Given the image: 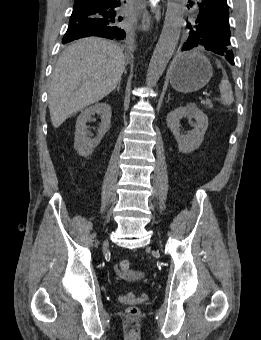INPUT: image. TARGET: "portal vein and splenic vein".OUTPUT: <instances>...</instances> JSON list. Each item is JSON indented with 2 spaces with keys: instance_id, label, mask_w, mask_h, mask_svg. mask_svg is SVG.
I'll list each match as a JSON object with an SVG mask.
<instances>
[{
  "instance_id": "obj_1",
  "label": "portal vein and splenic vein",
  "mask_w": 261,
  "mask_h": 340,
  "mask_svg": "<svg viewBox=\"0 0 261 340\" xmlns=\"http://www.w3.org/2000/svg\"><path fill=\"white\" fill-rule=\"evenodd\" d=\"M205 95H206L207 97H209L211 94H210V93H208V92H206V93H205Z\"/></svg>"
}]
</instances>
